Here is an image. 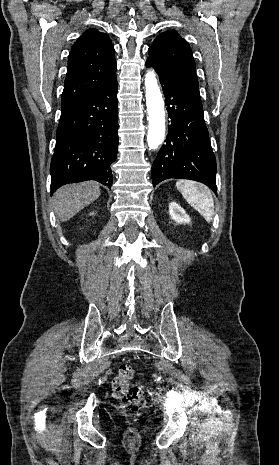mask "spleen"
Returning a JSON list of instances; mask_svg holds the SVG:
<instances>
[{
	"label": "spleen",
	"instance_id": "spleen-1",
	"mask_svg": "<svg viewBox=\"0 0 279 465\" xmlns=\"http://www.w3.org/2000/svg\"><path fill=\"white\" fill-rule=\"evenodd\" d=\"M186 201L196 209L207 222H211L214 215V201L211 192L204 186L193 181L179 180L176 183Z\"/></svg>",
	"mask_w": 279,
	"mask_h": 465
}]
</instances>
